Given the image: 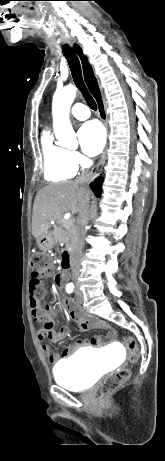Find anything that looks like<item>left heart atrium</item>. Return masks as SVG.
Instances as JSON below:
<instances>
[{
    "label": "left heart atrium",
    "mask_w": 165,
    "mask_h": 461,
    "mask_svg": "<svg viewBox=\"0 0 165 461\" xmlns=\"http://www.w3.org/2000/svg\"><path fill=\"white\" fill-rule=\"evenodd\" d=\"M78 136L85 154L96 156L103 150L106 135L100 123L96 121L84 123L79 129Z\"/></svg>",
    "instance_id": "left-heart-atrium-1"
}]
</instances>
